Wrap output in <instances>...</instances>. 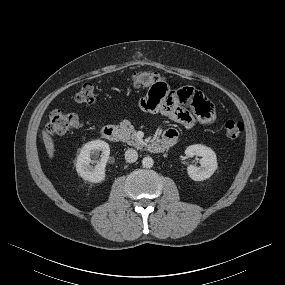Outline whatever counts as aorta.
Returning a JSON list of instances; mask_svg holds the SVG:
<instances>
[{
    "label": "aorta",
    "instance_id": "aorta-1",
    "mask_svg": "<svg viewBox=\"0 0 285 285\" xmlns=\"http://www.w3.org/2000/svg\"><path fill=\"white\" fill-rule=\"evenodd\" d=\"M142 165L144 168H151L154 165V160L149 156L144 157L142 159Z\"/></svg>",
    "mask_w": 285,
    "mask_h": 285
}]
</instances>
